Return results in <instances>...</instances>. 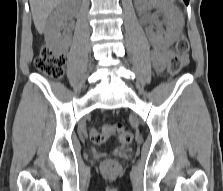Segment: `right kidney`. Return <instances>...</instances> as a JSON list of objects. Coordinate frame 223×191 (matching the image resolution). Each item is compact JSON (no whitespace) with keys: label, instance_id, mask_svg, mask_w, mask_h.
<instances>
[{"label":"right kidney","instance_id":"ca27d5eb","mask_svg":"<svg viewBox=\"0 0 223 191\" xmlns=\"http://www.w3.org/2000/svg\"><path fill=\"white\" fill-rule=\"evenodd\" d=\"M78 0H65L59 4L56 10L50 16L45 38L49 47L57 53H63L68 50L72 33L66 24L68 13L77 8Z\"/></svg>","mask_w":223,"mask_h":191}]
</instances>
